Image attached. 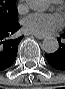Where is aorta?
<instances>
[{
  "label": "aorta",
  "mask_w": 65,
  "mask_h": 89,
  "mask_svg": "<svg viewBox=\"0 0 65 89\" xmlns=\"http://www.w3.org/2000/svg\"><path fill=\"white\" fill-rule=\"evenodd\" d=\"M50 3L48 0H31L30 8L36 12H45L49 9ZM59 48V43L54 37H47L43 40L42 49L50 54L55 53Z\"/></svg>",
  "instance_id": "obj_1"
}]
</instances>
